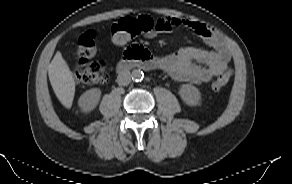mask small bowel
<instances>
[{"mask_svg":"<svg viewBox=\"0 0 292 184\" xmlns=\"http://www.w3.org/2000/svg\"><path fill=\"white\" fill-rule=\"evenodd\" d=\"M155 22L159 33H169L177 27L189 28L210 47H184L176 53L158 58L160 67L174 79L200 84L209 82L226 70L231 55L224 40L213 28L178 17H163Z\"/></svg>","mask_w":292,"mask_h":184,"instance_id":"small-bowel-1","label":"small bowel"}]
</instances>
